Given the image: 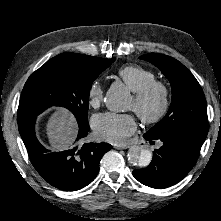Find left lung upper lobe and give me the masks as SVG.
I'll list each match as a JSON object with an SVG mask.
<instances>
[{
    "label": "left lung upper lobe",
    "mask_w": 221,
    "mask_h": 221,
    "mask_svg": "<svg viewBox=\"0 0 221 221\" xmlns=\"http://www.w3.org/2000/svg\"><path fill=\"white\" fill-rule=\"evenodd\" d=\"M158 67L172 88V103L166 116L147 134L161 137H183L203 144L208 130L206 100L193 74L176 59L157 53L139 57Z\"/></svg>",
    "instance_id": "1"
}]
</instances>
